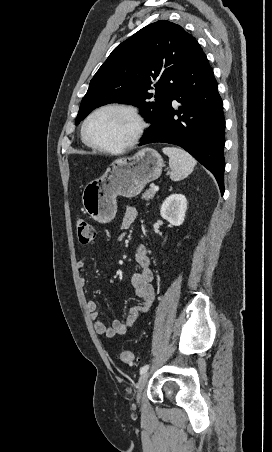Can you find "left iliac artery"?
Instances as JSON below:
<instances>
[{
	"instance_id": "1",
	"label": "left iliac artery",
	"mask_w": 272,
	"mask_h": 452,
	"mask_svg": "<svg viewBox=\"0 0 272 452\" xmlns=\"http://www.w3.org/2000/svg\"><path fill=\"white\" fill-rule=\"evenodd\" d=\"M149 369V364H146L140 368V374H143Z\"/></svg>"
}]
</instances>
